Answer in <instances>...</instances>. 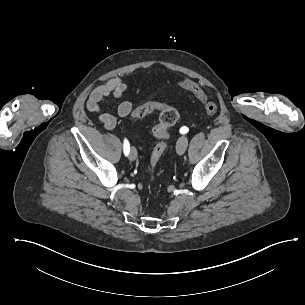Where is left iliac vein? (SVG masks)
<instances>
[{
	"instance_id": "obj_1",
	"label": "left iliac vein",
	"mask_w": 305,
	"mask_h": 305,
	"mask_svg": "<svg viewBox=\"0 0 305 305\" xmlns=\"http://www.w3.org/2000/svg\"><path fill=\"white\" fill-rule=\"evenodd\" d=\"M188 146V139L185 136H181L176 143V149L178 154H183Z\"/></svg>"
}]
</instances>
